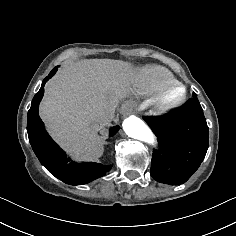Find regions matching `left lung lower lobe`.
Instances as JSON below:
<instances>
[{"instance_id":"obj_1","label":"left lung lower lobe","mask_w":236,"mask_h":236,"mask_svg":"<svg viewBox=\"0 0 236 236\" xmlns=\"http://www.w3.org/2000/svg\"><path fill=\"white\" fill-rule=\"evenodd\" d=\"M143 119L157 136L151 176L158 182L179 185L198 169L209 145V131L202 107L193 93L182 107L162 116Z\"/></svg>"}]
</instances>
